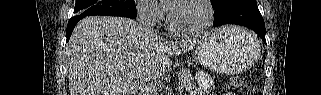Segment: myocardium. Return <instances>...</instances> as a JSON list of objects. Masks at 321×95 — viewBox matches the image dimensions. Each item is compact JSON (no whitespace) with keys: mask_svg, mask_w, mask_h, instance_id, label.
<instances>
[{"mask_svg":"<svg viewBox=\"0 0 321 95\" xmlns=\"http://www.w3.org/2000/svg\"><path fill=\"white\" fill-rule=\"evenodd\" d=\"M189 1H196L201 3L206 11V20L205 23L203 24V26L199 29L196 30H180L175 28V26L172 23L171 20V16H170V11L171 9L176 6L179 3H184V2H189ZM167 17H166V27L168 29L169 32H171L172 34L176 35V36H180V37H191V36H198L203 34L208 28L209 26L212 24L213 20H214V9L212 7L211 1L210 0H178L175 2L174 5L168 6L167 8Z\"/></svg>","mask_w":321,"mask_h":95,"instance_id":"obj_1","label":"myocardium"}]
</instances>
